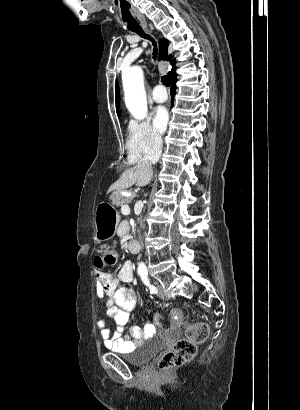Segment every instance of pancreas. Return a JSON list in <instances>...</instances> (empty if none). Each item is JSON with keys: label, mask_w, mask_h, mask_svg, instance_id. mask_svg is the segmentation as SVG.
<instances>
[{"label": "pancreas", "mask_w": 300, "mask_h": 410, "mask_svg": "<svg viewBox=\"0 0 300 410\" xmlns=\"http://www.w3.org/2000/svg\"><path fill=\"white\" fill-rule=\"evenodd\" d=\"M133 197H134V194L130 197H124L119 193L115 205L122 206L124 204H128L132 201Z\"/></svg>", "instance_id": "1"}]
</instances>
